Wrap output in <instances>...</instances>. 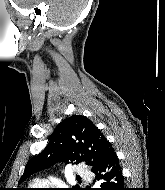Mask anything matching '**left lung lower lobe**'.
<instances>
[{"mask_svg":"<svg viewBox=\"0 0 165 190\" xmlns=\"http://www.w3.org/2000/svg\"><path fill=\"white\" fill-rule=\"evenodd\" d=\"M94 182H99L98 190H124L123 176L116 153L114 152L97 167L92 169Z\"/></svg>","mask_w":165,"mask_h":190,"instance_id":"obj_1","label":"left lung lower lobe"}]
</instances>
